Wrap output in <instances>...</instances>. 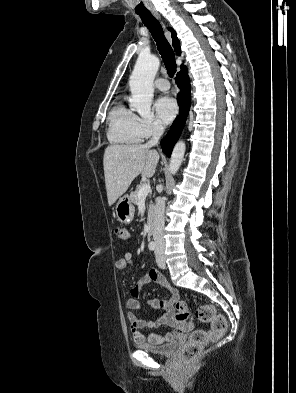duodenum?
I'll return each mask as SVG.
<instances>
[{
	"mask_svg": "<svg viewBox=\"0 0 296 393\" xmlns=\"http://www.w3.org/2000/svg\"><path fill=\"white\" fill-rule=\"evenodd\" d=\"M153 232H154L153 225H152V224H149L148 236H152V235H153Z\"/></svg>",
	"mask_w": 296,
	"mask_h": 393,
	"instance_id": "duodenum-1",
	"label": "duodenum"
}]
</instances>
